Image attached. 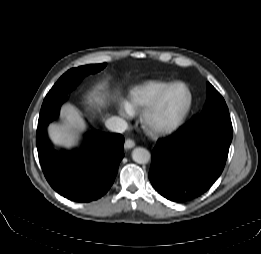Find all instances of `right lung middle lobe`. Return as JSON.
Returning <instances> with one entry per match:
<instances>
[{
  "label": "right lung middle lobe",
  "instance_id": "obj_1",
  "mask_svg": "<svg viewBox=\"0 0 261 254\" xmlns=\"http://www.w3.org/2000/svg\"><path fill=\"white\" fill-rule=\"evenodd\" d=\"M105 66L106 63H103L86 65L68 70L63 76L59 78L56 84L48 92L44 100H49L61 95H66L78 85L83 77L91 73L99 72Z\"/></svg>",
  "mask_w": 261,
  "mask_h": 254
}]
</instances>
